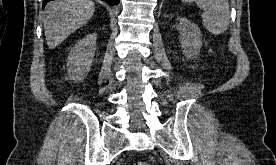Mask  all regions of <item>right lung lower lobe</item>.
<instances>
[{"instance_id": "98d812e1", "label": "right lung lower lobe", "mask_w": 276, "mask_h": 165, "mask_svg": "<svg viewBox=\"0 0 276 165\" xmlns=\"http://www.w3.org/2000/svg\"><path fill=\"white\" fill-rule=\"evenodd\" d=\"M49 1H52V0H43V7H45L47 2H49ZM103 1L107 2L110 5H117L120 2V0H103Z\"/></svg>"}]
</instances>
